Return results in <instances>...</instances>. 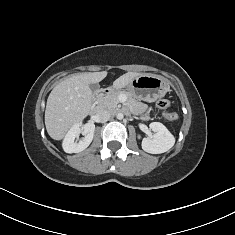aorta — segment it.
<instances>
[{
  "label": "aorta",
  "mask_w": 235,
  "mask_h": 235,
  "mask_svg": "<svg viewBox=\"0 0 235 235\" xmlns=\"http://www.w3.org/2000/svg\"><path fill=\"white\" fill-rule=\"evenodd\" d=\"M124 117L123 113H118L117 114V119L122 120Z\"/></svg>",
  "instance_id": "obj_1"
}]
</instances>
